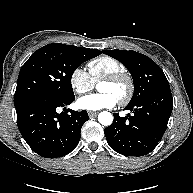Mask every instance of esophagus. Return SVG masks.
<instances>
[{"label": "esophagus", "instance_id": "1", "mask_svg": "<svg viewBox=\"0 0 193 193\" xmlns=\"http://www.w3.org/2000/svg\"><path fill=\"white\" fill-rule=\"evenodd\" d=\"M88 115H89L90 118H94L98 115V112L90 111V112H88Z\"/></svg>", "mask_w": 193, "mask_h": 193}]
</instances>
